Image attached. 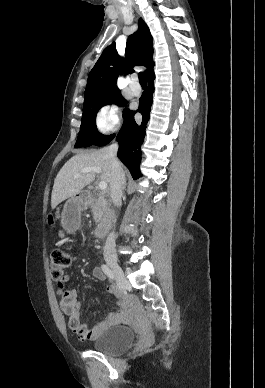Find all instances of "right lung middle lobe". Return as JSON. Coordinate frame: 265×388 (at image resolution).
Segmentation results:
<instances>
[{
  "label": "right lung middle lobe",
  "mask_w": 265,
  "mask_h": 388,
  "mask_svg": "<svg viewBox=\"0 0 265 388\" xmlns=\"http://www.w3.org/2000/svg\"><path fill=\"white\" fill-rule=\"evenodd\" d=\"M112 103L121 106L127 104V101L123 99L118 89L98 93L84 100L82 122L75 147H86L92 144L104 146L114 139L115 134L109 136L100 134L97 131L95 122L98 110L102 106ZM128 113L129 110L125 109L123 112L124 119Z\"/></svg>",
  "instance_id": "1"
}]
</instances>
